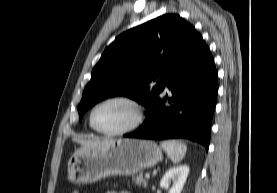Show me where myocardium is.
Here are the masks:
<instances>
[{"instance_id": "f54148a6", "label": "myocardium", "mask_w": 277, "mask_h": 193, "mask_svg": "<svg viewBox=\"0 0 277 193\" xmlns=\"http://www.w3.org/2000/svg\"><path fill=\"white\" fill-rule=\"evenodd\" d=\"M109 102H124V103L131 105L135 109V112H136V117H135L134 122L131 125L123 128V129L117 130V131H104V130L99 129L95 125L94 120H93L94 113L99 106L109 103ZM145 113L146 112H145L144 105L136 98L128 96V95H115V96L106 97V98L98 101L92 107V109L89 113V124L93 130H95L96 132H98L100 134H103L106 136H112V137L124 136L126 134L134 132L143 124L144 119H145Z\"/></svg>"}]
</instances>
